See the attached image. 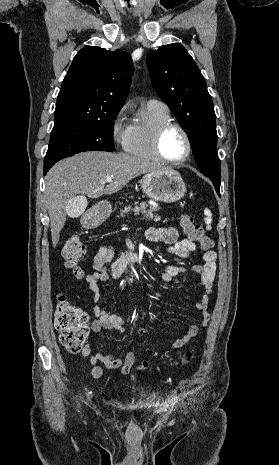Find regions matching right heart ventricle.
<instances>
[{
	"mask_svg": "<svg viewBox=\"0 0 279 465\" xmlns=\"http://www.w3.org/2000/svg\"><path fill=\"white\" fill-rule=\"evenodd\" d=\"M171 121L170 111L165 104L147 103L130 126L125 151L143 160L160 161L154 149V137L161 125Z\"/></svg>",
	"mask_w": 279,
	"mask_h": 465,
	"instance_id": "e07e8e85",
	"label": "right heart ventricle"
}]
</instances>
